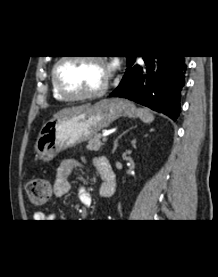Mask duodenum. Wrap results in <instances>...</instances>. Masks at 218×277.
I'll return each instance as SVG.
<instances>
[{
    "label": "duodenum",
    "instance_id": "obj_1",
    "mask_svg": "<svg viewBox=\"0 0 218 277\" xmlns=\"http://www.w3.org/2000/svg\"><path fill=\"white\" fill-rule=\"evenodd\" d=\"M98 167L103 170L100 191L102 195L105 197L112 196L114 193L112 195H106L108 182L113 180V177L111 176V168H110L109 160L106 158H99ZM114 191H115V184H114Z\"/></svg>",
    "mask_w": 218,
    "mask_h": 277
}]
</instances>
